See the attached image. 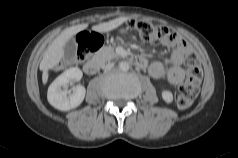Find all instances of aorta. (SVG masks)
<instances>
[{
	"label": "aorta",
	"mask_w": 238,
	"mask_h": 158,
	"mask_svg": "<svg viewBox=\"0 0 238 158\" xmlns=\"http://www.w3.org/2000/svg\"><path fill=\"white\" fill-rule=\"evenodd\" d=\"M129 67H130V65H129L128 62L122 61V62L119 63V69H120L121 71L126 72V71L129 70Z\"/></svg>",
	"instance_id": "762f6f07"
}]
</instances>
